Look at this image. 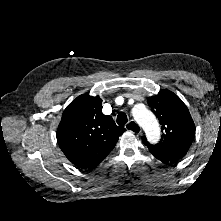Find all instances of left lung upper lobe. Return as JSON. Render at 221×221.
Wrapping results in <instances>:
<instances>
[{"instance_id": "1", "label": "left lung upper lobe", "mask_w": 221, "mask_h": 221, "mask_svg": "<svg viewBox=\"0 0 221 221\" xmlns=\"http://www.w3.org/2000/svg\"><path fill=\"white\" fill-rule=\"evenodd\" d=\"M152 111L161 124L162 136L159 143L151 145L142 140L148 148L173 150L191 146L195 137V125L188 108L173 92L163 89L158 95L147 99Z\"/></svg>"}]
</instances>
